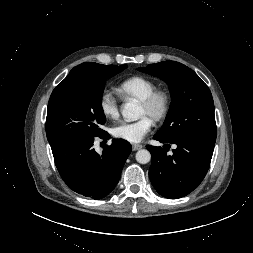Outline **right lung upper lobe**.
Instances as JSON below:
<instances>
[{
	"instance_id": "obj_1",
	"label": "right lung upper lobe",
	"mask_w": 253,
	"mask_h": 253,
	"mask_svg": "<svg viewBox=\"0 0 253 253\" xmlns=\"http://www.w3.org/2000/svg\"><path fill=\"white\" fill-rule=\"evenodd\" d=\"M105 65H102V64H98V63H93V62H86V63H82L76 67H74L69 75H72L76 72H79V71H88V70H94V69H98L100 67H103Z\"/></svg>"
}]
</instances>
